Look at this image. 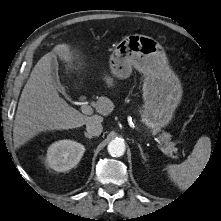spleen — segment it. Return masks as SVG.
Listing matches in <instances>:
<instances>
[{
  "mask_svg": "<svg viewBox=\"0 0 221 221\" xmlns=\"http://www.w3.org/2000/svg\"><path fill=\"white\" fill-rule=\"evenodd\" d=\"M211 155V141L207 136H201L188 159L181 164L168 165L170 178L180 189L189 187L202 172Z\"/></svg>",
  "mask_w": 221,
  "mask_h": 221,
  "instance_id": "3e777b00",
  "label": "spleen"
}]
</instances>
